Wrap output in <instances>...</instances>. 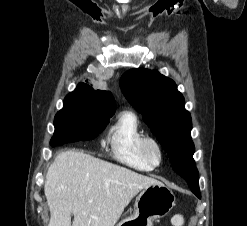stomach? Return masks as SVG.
I'll list each match as a JSON object with an SVG mask.
<instances>
[{"instance_id":"1","label":"stomach","mask_w":247,"mask_h":226,"mask_svg":"<svg viewBox=\"0 0 247 226\" xmlns=\"http://www.w3.org/2000/svg\"><path fill=\"white\" fill-rule=\"evenodd\" d=\"M175 206L173 192L163 183L145 187L136 197L134 212L117 226H153V221L166 216Z\"/></svg>"}]
</instances>
